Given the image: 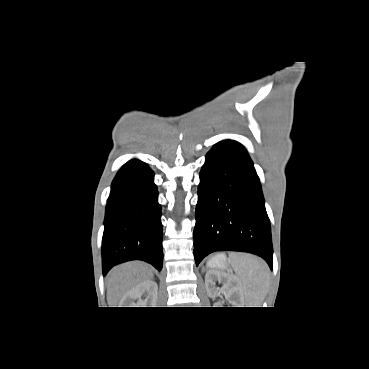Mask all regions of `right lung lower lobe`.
I'll use <instances>...</instances> for the list:
<instances>
[{
    "label": "right lung lower lobe",
    "mask_w": 369,
    "mask_h": 369,
    "mask_svg": "<svg viewBox=\"0 0 369 369\" xmlns=\"http://www.w3.org/2000/svg\"><path fill=\"white\" fill-rule=\"evenodd\" d=\"M153 172L128 161L112 182L102 240L103 275L119 263L143 260L162 269L161 208Z\"/></svg>",
    "instance_id": "1"
}]
</instances>
